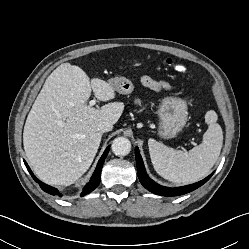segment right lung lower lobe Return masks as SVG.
Wrapping results in <instances>:
<instances>
[{
	"instance_id": "1",
	"label": "right lung lower lobe",
	"mask_w": 249,
	"mask_h": 249,
	"mask_svg": "<svg viewBox=\"0 0 249 249\" xmlns=\"http://www.w3.org/2000/svg\"><path fill=\"white\" fill-rule=\"evenodd\" d=\"M110 146H108L105 150V152L103 153V155L101 156L97 167L94 171L93 176L91 177L89 183L83 188V191L81 193V197L90 193L91 191H93L100 183V179H101V169L104 163V160L109 152ZM25 166L27 167L29 173L31 174V176L33 177V179L40 185L41 189L51 195H58L59 197L62 196V194L56 189L53 188L51 186L46 185L45 183H42L41 181H39L34 174L32 173V171L30 170L29 166L27 165V163L24 161Z\"/></svg>"
}]
</instances>
